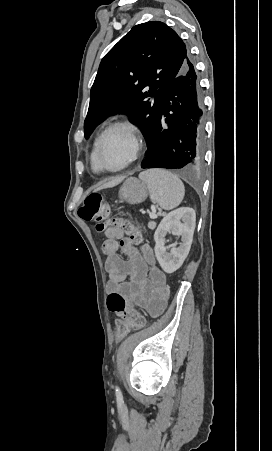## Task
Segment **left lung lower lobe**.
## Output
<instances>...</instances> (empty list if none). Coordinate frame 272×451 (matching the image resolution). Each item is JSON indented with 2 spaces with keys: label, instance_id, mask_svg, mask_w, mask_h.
Returning a JSON list of instances; mask_svg holds the SVG:
<instances>
[{
  "label": "left lung lower lobe",
  "instance_id": "left-lung-lower-lobe-1",
  "mask_svg": "<svg viewBox=\"0 0 272 451\" xmlns=\"http://www.w3.org/2000/svg\"><path fill=\"white\" fill-rule=\"evenodd\" d=\"M203 109L199 82L187 54L161 102V111L142 168H185L203 162Z\"/></svg>",
  "mask_w": 272,
  "mask_h": 451
}]
</instances>
